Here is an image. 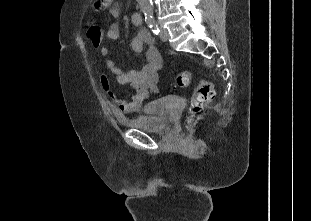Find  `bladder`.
Returning a JSON list of instances; mask_svg holds the SVG:
<instances>
[{"label":"bladder","mask_w":311,"mask_h":221,"mask_svg":"<svg viewBox=\"0 0 311 221\" xmlns=\"http://www.w3.org/2000/svg\"><path fill=\"white\" fill-rule=\"evenodd\" d=\"M169 109L170 105L166 99L154 98L151 108H144L143 113L129 118L126 126L148 133L165 132L172 124Z\"/></svg>","instance_id":"bladder-1"}]
</instances>
